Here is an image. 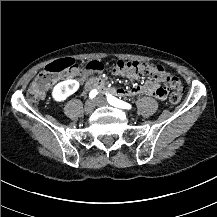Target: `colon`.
Wrapping results in <instances>:
<instances>
[{
    "label": "colon",
    "instance_id": "obj_1",
    "mask_svg": "<svg viewBox=\"0 0 217 217\" xmlns=\"http://www.w3.org/2000/svg\"><path fill=\"white\" fill-rule=\"evenodd\" d=\"M117 68L125 74L137 78H153L158 83L164 84L167 89L181 87L182 84L178 77L170 74L161 66L152 63H140L136 61H118ZM73 70V63L70 60H63L61 63H53L49 70H42L39 77L30 86L27 98L29 101H37L45 95L48 88L58 85L63 74H69ZM183 94L177 92L170 93L169 101L177 104L182 99Z\"/></svg>",
    "mask_w": 217,
    "mask_h": 217
}]
</instances>
